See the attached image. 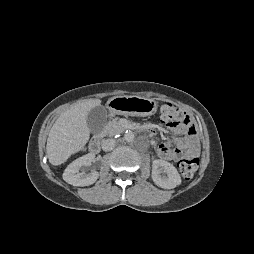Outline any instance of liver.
Segmentation results:
<instances>
[{"instance_id": "1", "label": "liver", "mask_w": 254, "mask_h": 254, "mask_svg": "<svg viewBox=\"0 0 254 254\" xmlns=\"http://www.w3.org/2000/svg\"><path fill=\"white\" fill-rule=\"evenodd\" d=\"M100 105V99H89L58 117L49 132L46 145L47 157L52 165L64 163L85 146L90 136L87 116L92 108Z\"/></svg>"}]
</instances>
